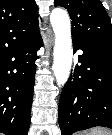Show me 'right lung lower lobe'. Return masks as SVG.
Wrapping results in <instances>:
<instances>
[{"label":"right lung lower lobe","mask_w":112,"mask_h":135,"mask_svg":"<svg viewBox=\"0 0 112 135\" xmlns=\"http://www.w3.org/2000/svg\"><path fill=\"white\" fill-rule=\"evenodd\" d=\"M40 34L0 56V132L27 135Z\"/></svg>","instance_id":"right-lung-lower-lobe-1"}]
</instances>
